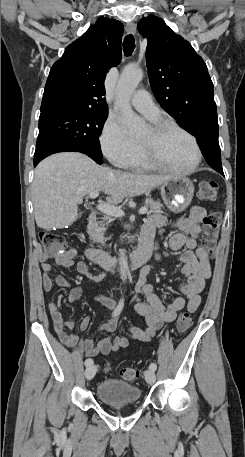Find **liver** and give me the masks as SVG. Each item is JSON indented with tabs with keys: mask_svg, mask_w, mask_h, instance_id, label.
Here are the masks:
<instances>
[{
	"mask_svg": "<svg viewBox=\"0 0 245 457\" xmlns=\"http://www.w3.org/2000/svg\"><path fill=\"white\" fill-rule=\"evenodd\" d=\"M166 174L122 172L96 164L81 152H57L39 162L32 182L34 214L41 229H64L77 218V204L93 190H104L106 200L118 204L126 196L149 192L167 182Z\"/></svg>",
	"mask_w": 245,
	"mask_h": 457,
	"instance_id": "obj_1",
	"label": "liver"
}]
</instances>
